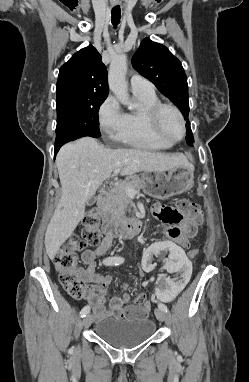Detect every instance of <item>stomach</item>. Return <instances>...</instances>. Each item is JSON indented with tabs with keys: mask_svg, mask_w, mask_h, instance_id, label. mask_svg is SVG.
I'll return each instance as SVG.
<instances>
[{
	"mask_svg": "<svg viewBox=\"0 0 249 382\" xmlns=\"http://www.w3.org/2000/svg\"><path fill=\"white\" fill-rule=\"evenodd\" d=\"M145 185L143 191L151 197L164 199L190 189L194 184L193 168L178 166L163 172H145L142 174Z\"/></svg>",
	"mask_w": 249,
	"mask_h": 382,
	"instance_id": "1",
	"label": "stomach"
}]
</instances>
